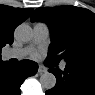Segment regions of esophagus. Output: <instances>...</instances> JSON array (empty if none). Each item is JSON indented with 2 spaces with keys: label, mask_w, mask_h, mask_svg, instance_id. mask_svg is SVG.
Listing matches in <instances>:
<instances>
[{
  "label": "esophagus",
  "mask_w": 95,
  "mask_h": 95,
  "mask_svg": "<svg viewBox=\"0 0 95 95\" xmlns=\"http://www.w3.org/2000/svg\"><path fill=\"white\" fill-rule=\"evenodd\" d=\"M46 71H47V69H46L44 66L39 65V68H38V73H39V74H43V73H45Z\"/></svg>",
  "instance_id": "obj_1"
}]
</instances>
